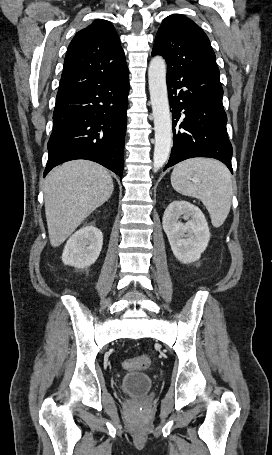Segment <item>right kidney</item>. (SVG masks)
I'll return each instance as SVG.
<instances>
[{
    "instance_id": "1",
    "label": "right kidney",
    "mask_w": 272,
    "mask_h": 455,
    "mask_svg": "<svg viewBox=\"0 0 272 455\" xmlns=\"http://www.w3.org/2000/svg\"><path fill=\"white\" fill-rule=\"evenodd\" d=\"M102 245V232L93 225H87L69 238L63 250L62 261L65 265L78 269L89 267L98 259Z\"/></svg>"
}]
</instances>
